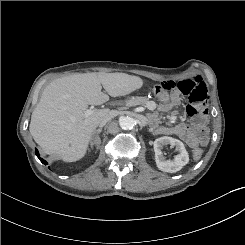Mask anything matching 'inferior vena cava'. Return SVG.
<instances>
[{"label": "inferior vena cava", "mask_w": 245, "mask_h": 245, "mask_svg": "<svg viewBox=\"0 0 245 245\" xmlns=\"http://www.w3.org/2000/svg\"><path fill=\"white\" fill-rule=\"evenodd\" d=\"M115 114L113 112H109L99 123L100 127H103L108 121H110Z\"/></svg>", "instance_id": "602c4592"}]
</instances>
